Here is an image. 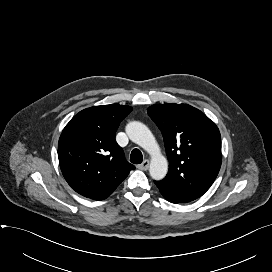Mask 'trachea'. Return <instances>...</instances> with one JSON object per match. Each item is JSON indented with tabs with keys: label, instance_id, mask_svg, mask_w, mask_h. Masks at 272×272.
<instances>
[{
	"label": "trachea",
	"instance_id": "obj_1",
	"mask_svg": "<svg viewBox=\"0 0 272 272\" xmlns=\"http://www.w3.org/2000/svg\"><path fill=\"white\" fill-rule=\"evenodd\" d=\"M143 155L139 149H133L130 155V162L133 164L142 163Z\"/></svg>",
	"mask_w": 272,
	"mask_h": 272
}]
</instances>
